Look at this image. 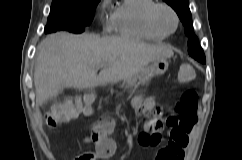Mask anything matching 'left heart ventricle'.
<instances>
[{
  "instance_id": "left-heart-ventricle-1",
  "label": "left heart ventricle",
  "mask_w": 242,
  "mask_h": 160,
  "mask_svg": "<svg viewBox=\"0 0 242 160\" xmlns=\"http://www.w3.org/2000/svg\"><path fill=\"white\" fill-rule=\"evenodd\" d=\"M157 20L160 26L165 30L170 31L175 26V21L172 14L165 9H161L158 11Z\"/></svg>"
}]
</instances>
